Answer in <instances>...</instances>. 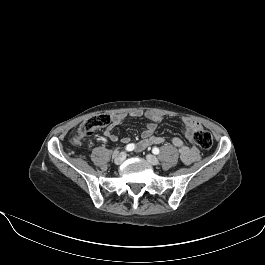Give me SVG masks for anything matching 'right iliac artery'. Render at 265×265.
<instances>
[{
	"mask_svg": "<svg viewBox=\"0 0 265 265\" xmlns=\"http://www.w3.org/2000/svg\"><path fill=\"white\" fill-rule=\"evenodd\" d=\"M134 148H135V145L134 144H128L127 146H126V150L127 151H132V150H134Z\"/></svg>",
	"mask_w": 265,
	"mask_h": 265,
	"instance_id": "obj_1",
	"label": "right iliac artery"
}]
</instances>
